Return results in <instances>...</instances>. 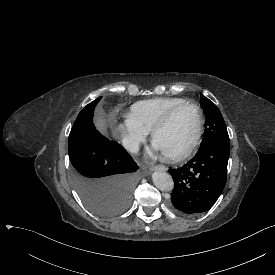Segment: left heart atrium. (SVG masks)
Instances as JSON below:
<instances>
[{
    "label": "left heart atrium",
    "mask_w": 275,
    "mask_h": 275,
    "mask_svg": "<svg viewBox=\"0 0 275 275\" xmlns=\"http://www.w3.org/2000/svg\"><path fill=\"white\" fill-rule=\"evenodd\" d=\"M156 152H159L155 147H153Z\"/></svg>",
    "instance_id": "1"
}]
</instances>
